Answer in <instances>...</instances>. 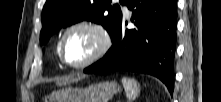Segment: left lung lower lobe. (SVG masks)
Instances as JSON below:
<instances>
[{
    "instance_id": "obj_1",
    "label": "left lung lower lobe",
    "mask_w": 221,
    "mask_h": 102,
    "mask_svg": "<svg viewBox=\"0 0 221 102\" xmlns=\"http://www.w3.org/2000/svg\"><path fill=\"white\" fill-rule=\"evenodd\" d=\"M133 11L136 28L127 29L121 19L112 37V47L84 73L126 70L153 75L174 90V56L176 50L175 0H125Z\"/></svg>"
}]
</instances>
